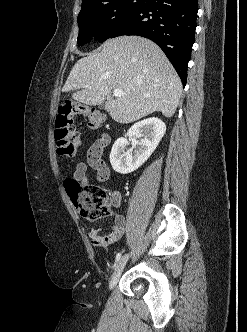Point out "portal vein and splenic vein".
<instances>
[{"label": "portal vein and splenic vein", "mask_w": 247, "mask_h": 332, "mask_svg": "<svg viewBox=\"0 0 247 332\" xmlns=\"http://www.w3.org/2000/svg\"><path fill=\"white\" fill-rule=\"evenodd\" d=\"M88 87V86H87ZM113 95L115 97L123 96L126 95L121 89H114L113 90Z\"/></svg>", "instance_id": "portal-vein-and-splenic-vein-1"}]
</instances>
